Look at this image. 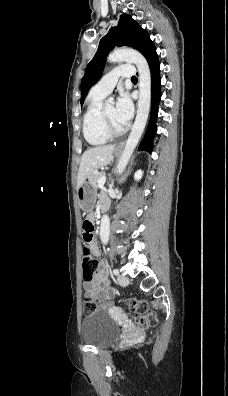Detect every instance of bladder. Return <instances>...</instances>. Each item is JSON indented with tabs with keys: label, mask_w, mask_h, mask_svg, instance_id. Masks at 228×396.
<instances>
[{
	"label": "bladder",
	"mask_w": 228,
	"mask_h": 396,
	"mask_svg": "<svg viewBox=\"0 0 228 396\" xmlns=\"http://www.w3.org/2000/svg\"><path fill=\"white\" fill-rule=\"evenodd\" d=\"M120 336V328L105 311H95L86 315L81 323V339L85 344L104 348Z\"/></svg>",
	"instance_id": "obj_1"
}]
</instances>
